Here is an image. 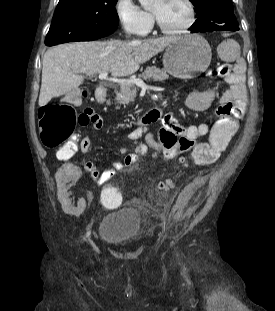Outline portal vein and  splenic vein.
<instances>
[{"label": "portal vein and splenic vein", "mask_w": 275, "mask_h": 311, "mask_svg": "<svg viewBox=\"0 0 275 311\" xmlns=\"http://www.w3.org/2000/svg\"><path fill=\"white\" fill-rule=\"evenodd\" d=\"M98 78L100 80H105V81H109V82H113V83H118L120 85L123 84H135L137 86H139L142 89H147L148 86L141 80V79H122V78H118V77H108V73L104 72V73H100Z\"/></svg>", "instance_id": "18ae733b"}]
</instances>
